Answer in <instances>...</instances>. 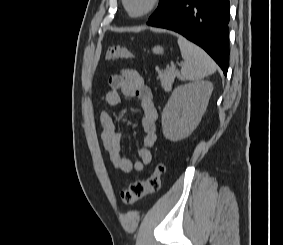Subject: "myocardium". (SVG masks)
I'll use <instances>...</instances> for the list:
<instances>
[{
    "instance_id": "myocardium-1",
    "label": "myocardium",
    "mask_w": 283,
    "mask_h": 245,
    "mask_svg": "<svg viewBox=\"0 0 283 245\" xmlns=\"http://www.w3.org/2000/svg\"><path fill=\"white\" fill-rule=\"evenodd\" d=\"M161 0H150L148 6L141 12L139 13H132L128 7V0H122V5L123 8L125 10V12L127 13V15L131 18L137 19V18H142L145 17L149 14H151L152 12H154L158 6L160 5Z\"/></svg>"
}]
</instances>
